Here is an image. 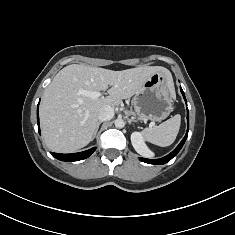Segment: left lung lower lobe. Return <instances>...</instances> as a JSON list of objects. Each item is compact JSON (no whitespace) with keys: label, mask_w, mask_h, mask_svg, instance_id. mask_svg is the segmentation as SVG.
<instances>
[{"label":"left lung lower lobe","mask_w":235,"mask_h":235,"mask_svg":"<svg viewBox=\"0 0 235 235\" xmlns=\"http://www.w3.org/2000/svg\"><path fill=\"white\" fill-rule=\"evenodd\" d=\"M181 90V93L185 99V102L187 104V101H186V98H185V94L183 92V90L180 88ZM187 121H188V128H187V133L185 135V137L183 138V140L180 142V144L170 153L168 154L167 156L163 157V158H160V159H146V158H140V160L142 162H145V163H149V164H165L167 162H169L173 157H175L178 152L181 150V148L183 147L186 139H187V136H188V131H189V112L187 111Z\"/></svg>","instance_id":"obj_1"}]
</instances>
